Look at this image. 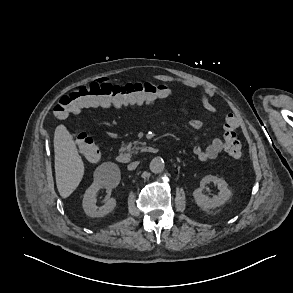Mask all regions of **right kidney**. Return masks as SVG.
Returning a JSON list of instances; mask_svg holds the SVG:
<instances>
[{"mask_svg":"<svg viewBox=\"0 0 293 293\" xmlns=\"http://www.w3.org/2000/svg\"><path fill=\"white\" fill-rule=\"evenodd\" d=\"M109 169L116 175L115 180H108L106 178L97 177L91 186L85 191L82 206L86 215L90 217H104L110 213L116 206V200L110 198L106 203L101 206H96V193L101 188L112 189L118 184L119 181V169L117 166L109 164Z\"/></svg>","mask_w":293,"mask_h":293,"instance_id":"ca27d5eb","label":"right kidney"}]
</instances>
